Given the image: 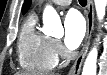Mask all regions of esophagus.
<instances>
[{
    "mask_svg": "<svg viewBox=\"0 0 107 75\" xmlns=\"http://www.w3.org/2000/svg\"><path fill=\"white\" fill-rule=\"evenodd\" d=\"M86 19H87V30H86V35H85V39H84V44H83L81 52L79 53L75 63L73 64L72 68L70 69L68 75H79L80 74L83 61L88 52L90 40L92 37L93 27H94V20H95L94 5H93L92 0H87Z\"/></svg>",
    "mask_w": 107,
    "mask_h": 75,
    "instance_id": "1",
    "label": "esophagus"
}]
</instances>
